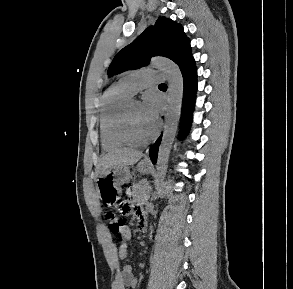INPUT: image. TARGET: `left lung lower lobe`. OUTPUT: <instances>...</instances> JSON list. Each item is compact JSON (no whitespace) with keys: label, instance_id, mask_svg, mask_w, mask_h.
Instances as JSON below:
<instances>
[{"label":"left lung lower lobe","instance_id":"0a47b994","mask_svg":"<svg viewBox=\"0 0 293 289\" xmlns=\"http://www.w3.org/2000/svg\"><path fill=\"white\" fill-rule=\"evenodd\" d=\"M181 73L183 75L184 81V98H183V108H182V121H181V135H185L191 125L192 112L195 103V94L197 90V70L195 67V61L191 57L187 62H185L180 67ZM161 142V136L151 147L149 154L153 164H156L158 148Z\"/></svg>","mask_w":293,"mask_h":289}]
</instances>
